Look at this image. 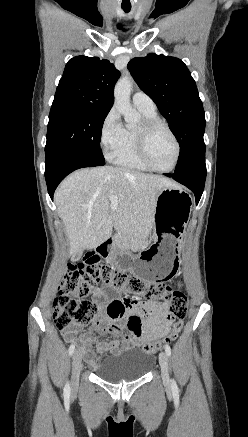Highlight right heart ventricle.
Here are the masks:
<instances>
[{
    "mask_svg": "<svg viewBox=\"0 0 248 437\" xmlns=\"http://www.w3.org/2000/svg\"><path fill=\"white\" fill-rule=\"evenodd\" d=\"M143 120L157 119L156 111L150 112L139 109ZM114 162L127 169L147 171L148 168L140 160L136 148V129L132 127L124 128V141L121 148L113 157Z\"/></svg>",
    "mask_w": 248,
    "mask_h": 437,
    "instance_id": "obj_1",
    "label": "right heart ventricle"
}]
</instances>
